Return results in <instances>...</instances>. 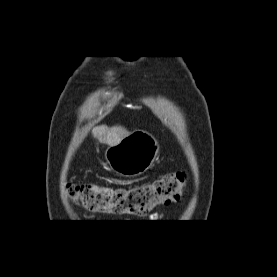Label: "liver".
Instances as JSON below:
<instances>
[{
  "instance_id": "obj_1",
  "label": "liver",
  "mask_w": 277,
  "mask_h": 277,
  "mask_svg": "<svg viewBox=\"0 0 277 277\" xmlns=\"http://www.w3.org/2000/svg\"><path fill=\"white\" fill-rule=\"evenodd\" d=\"M130 134L131 133L128 130L121 126L108 127L106 125H101L92 130V135L97 138L100 143L109 146L117 145Z\"/></svg>"
}]
</instances>
